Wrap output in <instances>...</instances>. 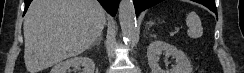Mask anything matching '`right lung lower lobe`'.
I'll list each match as a JSON object with an SVG mask.
<instances>
[{
	"label": "right lung lower lobe",
	"instance_id": "obj_1",
	"mask_svg": "<svg viewBox=\"0 0 244 73\" xmlns=\"http://www.w3.org/2000/svg\"><path fill=\"white\" fill-rule=\"evenodd\" d=\"M98 1L102 4V6L106 9L108 13H110L112 16H115L119 5V0H98ZM24 2H25L24 14H25L32 0H24Z\"/></svg>",
	"mask_w": 244,
	"mask_h": 73
}]
</instances>
